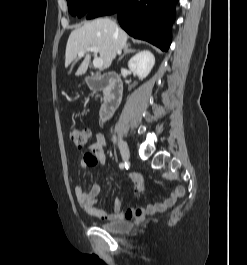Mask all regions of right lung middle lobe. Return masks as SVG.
<instances>
[{"label":"right lung middle lobe","mask_w":247,"mask_h":265,"mask_svg":"<svg viewBox=\"0 0 247 265\" xmlns=\"http://www.w3.org/2000/svg\"><path fill=\"white\" fill-rule=\"evenodd\" d=\"M103 1L105 0H67L68 10L71 15L82 17Z\"/></svg>","instance_id":"dd1d6c3e"}]
</instances>
